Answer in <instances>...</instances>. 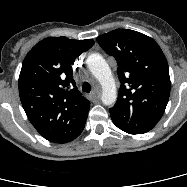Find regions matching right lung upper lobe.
<instances>
[{"instance_id":"right-lung-upper-lobe-1","label":"right lung upper lobe","mask_w":187,"mask_h":187,"mask_svg":"<svg viewBox=\"0 0 187 187\" xmlns=\"http://www.w3.org/2000/svg\"><path fill=\"white\" fill-rule=\"evenodd\" d=\"M94 44L91 39L48 37L26 55L19 94L24 111L47 140L67 143L82 132L90 102L78 91L71 64Z\"/></svg>"}]
</instances>
